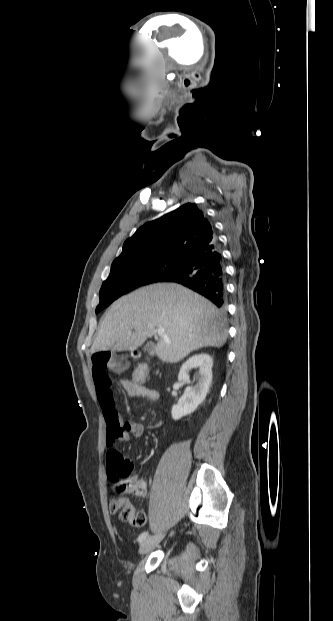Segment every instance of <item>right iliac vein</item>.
I'll use <instances>...</instances> for the list:
<instances>
[{
  "label": "right iliac vein",
  "mask_w": 333,
  "mask_h": 621,
  "mask_svg": "<svg viewBox=\"0 0 333 621\" xmlns=\"http://www.w3.org/2000/svg\"><path fill=\"white\" fill-rule=\"evenodd\" d=\"M164 534H156L145 539L139 547V554L143 555L149 552L151 549L156 547L160 541L163 539Z\"/></svg>",
  "instance_id": "63e3f726"
}]
</instances>
